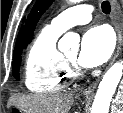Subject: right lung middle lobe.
Segmentation results:
<instances>
[{
	"label": "right lung middle lobe",
	"mask_w": 123,
	"mask_h": 113,
	"mask_svg": "<svg viewBox=\"0 0 123 113\" xmlns=\"http://www.w3.org/2000/svg\"><path fill=\"white\" fill-rule=\"evenodd\" d=\"M21 53H22V50H20L18 52H14V54H13L12 71H13L14 77L17 80H19V68H20V63H21Z\"/></svg>",
	"instance_id": "1"
}]
</instances>
